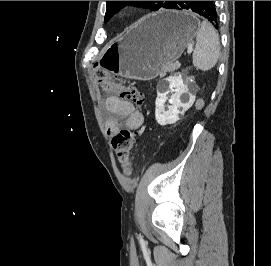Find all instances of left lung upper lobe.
Returning a JSON list of instances; mask_svg holds the SVG:
<instances>
[{
	"label": "left lung upper lobe",
	"instance_id": "left-lung-upper-lobe-1",
	"mask_svg": "<svg viewBox=\"0 0 271 266\" xmlns=\"http://www.w3.org/2000/svg\"><path fill=\"white\" fill-rule=\"evenodd\" d=\"M107 10L104 21L107 22L115 13L126 5L141 6L156 11L160 8H166L171 1H106Z\"/></svg>",
	"mask_w": 271,
	"mask_h": 266
}]
</instances>
